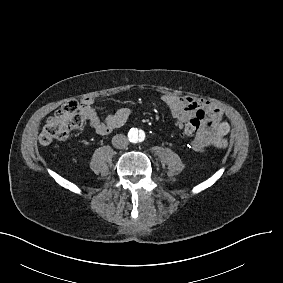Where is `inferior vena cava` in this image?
<instances>
[{"label":"inferior vena cava","mask_w":283,"mask_h":283,"mask_svg":"<svg viewBox=\"0 0 283 283\" xmlns=\"http://www.w3.org/2000/svg\"><path fill=\"white\" fill-rule=\"evenodd\" d=\"M112 145L117 149H124L128 146V138L123 134H117L112 138Z\"/></svg>","instance_id":"inferior-vena-cava-1"}]
</instances>
